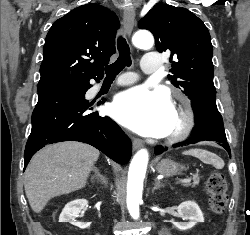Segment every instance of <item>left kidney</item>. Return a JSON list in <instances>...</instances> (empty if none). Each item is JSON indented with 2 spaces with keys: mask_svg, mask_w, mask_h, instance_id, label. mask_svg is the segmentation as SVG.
Instances as JSON below:
<instances>
[{
  "mask_svg": "<svg viewBox=\"0 0 250 235\" xmlns=\"http://www.w3.org/2000/svg\"><path fill=\"white\" fill-rule=\"evenodd\" d=\"M178 214L189 222H176L174 225L181 231H186L195 226L198 222H204V217L198 204L193 201L182 202L178 206Z\"/></svg>",
  "mask_w": 250,
  "mask_h": 235,
  "instance_id": "1",
  "label": "left kidney"
}]
</instances>
